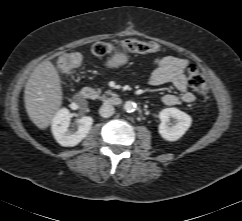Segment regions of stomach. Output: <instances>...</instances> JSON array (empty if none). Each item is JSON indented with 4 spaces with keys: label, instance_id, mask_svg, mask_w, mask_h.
I'll return each mask as SVG.
<instances>
[{
    "label": "stomach",
    "instance_id": "0dacf381",
    "mask_svg": "<svg viewBox=\"0 0 242 221\" xmlns=\"http://www.w3.org/2000/svg\"><path fill=\"white\" fill-rule=\"evenodd\" d=\"M128 62V55L125 50L115 48L114 53L107 59L105 66L107 68H118Z\"/></svg>",
    "mask_w": 242,
    "mask_h": 221
}]
</instances>
